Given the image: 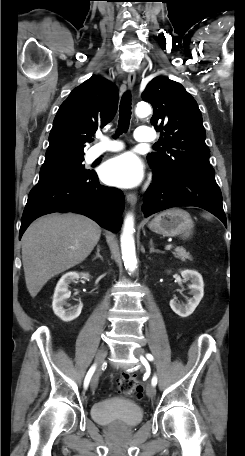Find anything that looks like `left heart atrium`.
Segmentation results:
<instances>
[{
  "label": "left heart atrium",
  "mask_w": 245,
  "mask_h": 456,
  "mask_svg": "<svg viewBox=\"0 0 245 456\" xmlns=\"http://www.w3.org/2000/svg\"><path fill=\"white\" fill-rule=\"evenodd\" d=\"M143 175V164L132 152L109 159L101 168L103 181L119 187H134L142 181Z\"/></svg>",
  "instance_id": "obj_1"
}]
</instances>
